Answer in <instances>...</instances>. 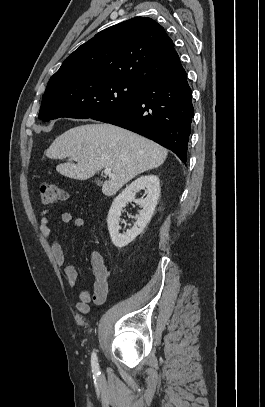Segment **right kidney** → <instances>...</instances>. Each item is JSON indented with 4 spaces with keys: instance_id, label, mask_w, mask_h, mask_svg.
Here are the masks:
<instances>
[{
    "instance_id": "right-kidney-1",
    "label": "right kidney",
    "mask_w": 265,
    "mask_h": 407,
    "mask_svg": "<svg viewBox=\"0 0 265 407\" xmlns=\"http://www.w3.org/2000/svg\"><path fill=\"white\" fill-rule=\"evenodd\" d=\"M146 190L145 199H135L140 190ZM160 196V181L156 175L142 176L127 186L113 201L108 213L107 224L112 243L123 248L132 242L150 222ZM128 202H136L142 207L133 227L125 233H119L122 209Z\"/></svg>"
}]
</instances>
